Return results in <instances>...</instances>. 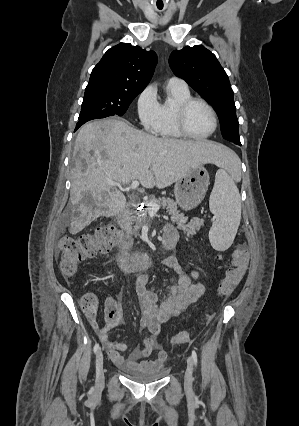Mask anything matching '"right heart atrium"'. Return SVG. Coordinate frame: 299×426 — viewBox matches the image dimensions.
Instances as JSON below:
<instances>
[{"label": "right heart atrium", "mask_w": 299, "mask_h": 426, "mask_svg": "<svg viewBox=\"0 0 299 426\" xmlns=\"http://www.w3.org/2000/svg\"><path fill=\"white\" fill-rule=\"evenodd\" d=\"M137 115L143 128L156 133L159 125V102L152 85L145 87L137 98Z\"/></svg>", "instance_id": "d8ad5b80"}]
</instances>
